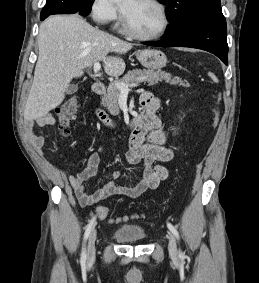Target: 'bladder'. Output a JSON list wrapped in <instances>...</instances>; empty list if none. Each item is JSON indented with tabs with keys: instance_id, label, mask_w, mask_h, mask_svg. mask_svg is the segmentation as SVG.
I'll return each mask as SVG.
<instances>
[{
	"instance_id": "31cf9c89",
	"label": "bladder",
	"mask_w": 259,
	"mask_h": 283,
	"mask_svg": "<svg viewBox=\"0 0 259 283\" xmlns=\"http://www.w3.org/2000/svg\"><path fill=\"white\" fill-rule=\"evenodd\" d=\"M121 242H139L146 239L145 228L138 224H123L114 233Z\"/></svg>"
}]
</instances>
